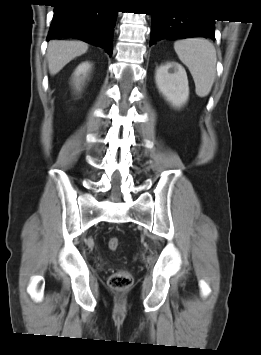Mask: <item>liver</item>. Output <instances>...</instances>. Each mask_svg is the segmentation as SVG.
Masks as SVG:
<instances>
[{
  "mask_svg": "<svg viewBox=\"0 0 261 355\" xmlns=\"http://www.w3.org/2000/svg\"><path fill=\"white\" fill-rule=\"evenodd\" d=\"M87 50L88 45L81 41H50L47 49L50 74H57L67 63Z\"/></svg>",
  "mask_w": 261,
  "mask_h": 355,
  "instance_id": "obj_1",
  "label": "liver"
}]
</instances>
